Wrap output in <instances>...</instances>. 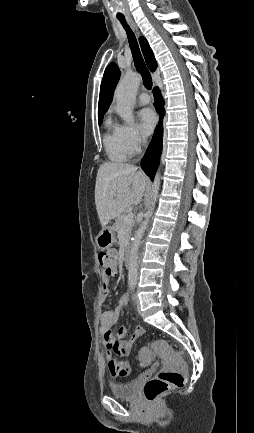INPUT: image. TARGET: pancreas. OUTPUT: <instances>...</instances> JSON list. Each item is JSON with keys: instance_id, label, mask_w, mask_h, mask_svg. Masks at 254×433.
I'll return each instance as SVG.
<instances>
[{"instance_id": "cf45deb5", "label": "pancreas", "mask_w": 254, "mask_h": 433, "mask_svg": "<svg viewBox=\"0 0 254 433\" xmlns=\"http://www.w3.org/2000/svg\"><path fill=\"white\" fill-rule=\"evenodd\" d=\"M127 213L120 214L114 223V230L116 232H119L120 230H124V234L126 238H130L131 231L133 229V226L135 225V222L132 220L129 223H124V218L126 217Z\"/></svg>"}]
</instances>
